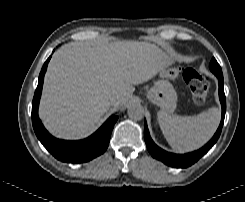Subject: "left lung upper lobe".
I'll return each instance as SVG.
<instances>
[{"label": "left lung upper lobe", "instance_id": "5c2ea615", "mask_svg": "<svg viewBox=\"0 0 245 202\" xmlns=\"http://www.w3.org/2000/svg\"><path fill=\"white\" fill-rule=\"evenodd\" d=\"M209 68H210L211 72L214 73L215 75H218V76L223 75L221 67L218 64V62L215 60V58H212L210 65H209Z\"/></svg>", "mask_w": 245, "mask_h": 202}]
</instances>
